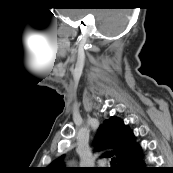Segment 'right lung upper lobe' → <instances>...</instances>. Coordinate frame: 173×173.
Instances as JSON below:
<instances>
[{
  "label": "right lung upper lobe",
  "instance_id": "obj_1",
  "mask_svg": "<svg viewBox=\"0 0 173 173\" xmlns=\"http://www.w3.org/2000/svg\"><path fill=\"white\" fill-rule=\"evenodd\" d=\"M134 139L133 132L121 119L111 117L105 120L104 124L98 129L95 144L97 151L111 150L103 155H115L117 164L120 165L128 155L138 148ZM63 157L62 155L47 167L48 173H66L69 171L66 167H63Z\"/></svg>",
  "mask_w": 173,
  "mask_h": 173
}]
</instances>
